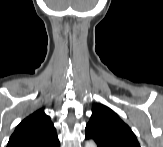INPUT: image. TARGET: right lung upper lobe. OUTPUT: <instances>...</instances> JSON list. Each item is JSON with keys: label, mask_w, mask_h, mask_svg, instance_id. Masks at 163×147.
Listing matches in <instances>:
<instances>
[{"label": "right lung upper lobe", "mask_w": 163, "mask_h": 147, "mask_svg": "<svg viewBox=\"0 0 163 147\" xmlns=\"http://www.w3.org/2000/svg\"><path fill=\"white\" fill-rule=\"evenodd\" d=\"M57 139L56 129L43 109L25 118L11 135L7 147L47 144Z\"/></svg>", "instance_id": "right-lung-upper-lobe-1"}]
</instances>
